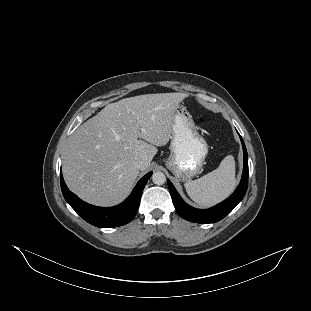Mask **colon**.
Segmentation results:
<instances>
[{
	"mask_svg": "<svg viewBox=\"0 0 311 311\" xmlns=\"http://www.w3.org/2000/svg\"><path fill=\"white\" fill-rule=\"evenodd\" d=\"M198 121L203 124L205 122V119L201 116L198 117Z\"/></svg>",
	"mask_w": 311,
	"mask_h": 311,
	"instance_id": "obj_1",
	"label": "colon"
}]
</instances>
